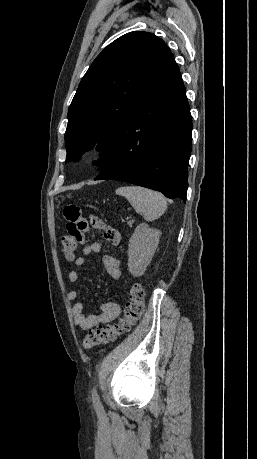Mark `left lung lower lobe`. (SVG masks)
Returning a JSON list of instances; mask_svg holds the SVG:
<instances>
[{
  "instance_id": "obj_1",
  "label": "left lung lower lobe",
  "mask_w": 257,
  "mask_h": 459,
  "mask_svg": "<svg viewBox=\"0 0 257 459\" xmlns=\"http://www.w3.org/2000/svg\"><path fill=\"white\" fill-rule=\"evenodd\" d=\"M192 119L171 54L118 130L113 152L95 180H119L186 201Z\"/></svg>"
}]
</instances>
